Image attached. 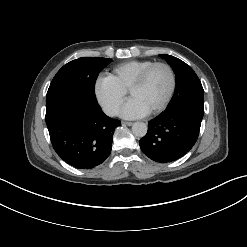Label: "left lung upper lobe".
<instances>
[{
    "instance_id": "obj_1",
    "label": "left lung upper lobe",
    "mask_w": 247,
    "mask_h": 247,
    "mask_svg": "<svg viewBox=\"0 0 247 247\" xmlns=\"http://www.w3.org/2000/svg\"><path fill=\"white\" fill-rule=\"evenodd\" d=\"M160 57L168 62L176 75L175 92L168 106L187 96L204 95L201 82L189 65L171 55L162 54Z\"/></svg>"
}]
</instances>
